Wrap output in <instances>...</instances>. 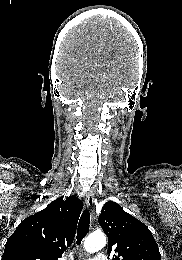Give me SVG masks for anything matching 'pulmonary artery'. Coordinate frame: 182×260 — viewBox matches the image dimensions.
<instances>
[{
    "label": "pulmonary artery",
    "mask_w": 182,
    "mask_h": 260,
    "mask_svg": "<svg viewBox=\"0 0 182 260\" xmlns=\"http://www.w3.org/2000/svg\"><path fill=\"white\" fill-rule=\"evenodd\" d=\"M86 260H108V259L104 254L99 253V254L95 255L93 258L86 259Z\"/></svg>",
    "instance_id": "pulmonary-artery-1"
}]
</instances>
